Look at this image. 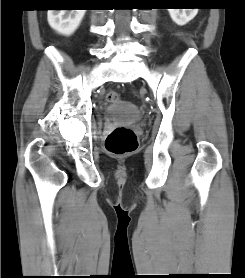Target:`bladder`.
Returning a JSON list of instances; mask_svg holds the SVG:
<instances>
[{"label":"bladder","instance_id":"1","mask_svg":"<svg viewBox=\"0 0 245 278\" xmlns=\"http://www.w3.org/2000/svg\"><path fill=\"white\" fill-rule=\"evenodd\" d=\"M105 120L132 125L140 120V112L132 103L116 100L106 110Z\"/></svg>","mask_w":245,"mask_h":278}]
</instances>
